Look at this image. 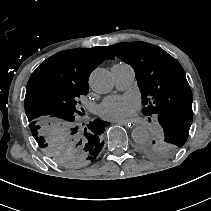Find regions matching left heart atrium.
<instances>
[{"label": "left heart atrium", "instance_id": "39dd6f15", "mask_svg": "<svg viewBox=\"0 0 211 211\" xmlns=\"http://www.w3.org/2000/svg\"><path fill=\"white\" fill-rule=\"evenodd\" d=\"M139 108V101L130 95L108 97L98 107V114L109 118H123L132 115Z\"/></svg>", "mask_w": 211, "mask_h": 211}]
</instances>
